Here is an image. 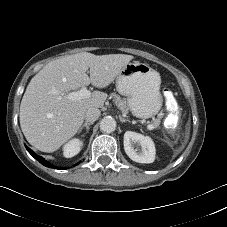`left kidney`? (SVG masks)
Listing matches in <instances>:
<instances>
[{
  "mask_svg": "<svg viewBox=\"0 0 227 227\" xmlns=\"http://www.w3.org/2000/svg\"><path fill=\"white\" fill-rule=\"evenodd\" d=\"M135 144L141 147L140 152L134 149ZM124 150L131 160L138 163H152L155 160V144L149 136L132 131L125 132Z\"/></svg>",
  "mask_w": 227,
  "mask_h": 227,
  "instance_id": "5707ae66",
  "label": "left kidney"
}]
</instances>
